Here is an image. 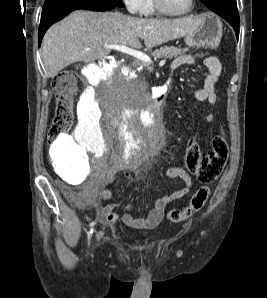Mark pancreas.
<instances>
[{"mask_svg":"<svg viewBox=\"0 0 267 298\" xmlns=\"http://www.w3.org/2000/svg\"><path fill=\"white\" fill-rule=\"evenodd\" d=\"M185 51H187L186 48H177L174 46H164V47H161L160 49L155 50L152 53V56H154L156 58L166 57V58L172 59L173 57L181 55ZM133 65L135 67L144 66L146 68H149L147 63H145L144 61H140V60L134 61Z\"/></svg>","mask_w":267,"mask_h":298,"instance_id":"1","label":"pancreas"}]
</instances>
